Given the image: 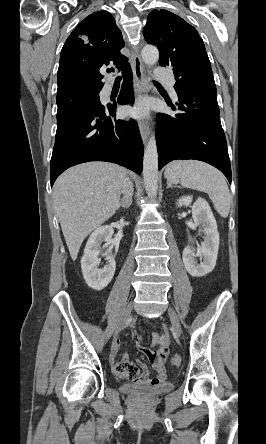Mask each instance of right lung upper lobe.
<instances>
[{
	"instance_id": "obj_1",
	"label": "right lung upper lobe",
	"mask_w": 266,
	"mask_h": 444,
	"mask_svg": "<svg viewBox=\"0 0 266 444\" xmlns=\"http://www.w3.org/2000/svg\"><path fill=\"white\" fill-rule=\"evenodd\" d=\"M122 33L106 10L94 12L81 21L67 38L60 55L57 97L100 91L104 85L99 69L113 62L123 70L128 59L120 53Z\"/></svg>"
}]
</instances>
